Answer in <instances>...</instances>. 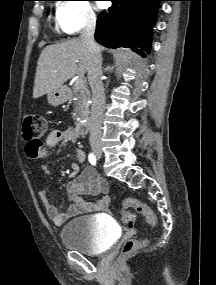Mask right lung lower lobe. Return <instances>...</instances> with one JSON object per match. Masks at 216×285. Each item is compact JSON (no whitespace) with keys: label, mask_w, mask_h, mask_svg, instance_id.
Masks as SVG:
<instances>
[{"label":"right lung lower lobe","mask_w":216,"mask_h":285,"mask_svg":"<svg viewBox=\"0 0 216 285\" xmlns=\"http://www.w3.org/2000/svg\"><path fill=\"white\" fill-rule=\"evenodd\" d=\"M112 6L102 11L97 19L95 39L109 48H134L149 52L155 15L163 0H110Z\"/></svg>","instance_id":"obj_1"}]
</instances>
